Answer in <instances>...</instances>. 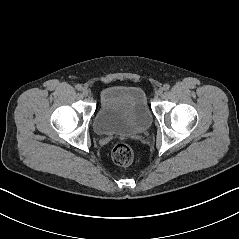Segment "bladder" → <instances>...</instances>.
Instances as JSON below:
<instances>
[{"instance_id": "31cf9c89", "label": "bladder", "mask_w": 239, "mask_h": 239, "mask_svg": "<svg viewBox=\"0 0 239 239\" xmlns=\"http://www.w3.org/2000/svg\"><path fill=\"white\" fill-rule=\"evenodd\" d=\"M152 123L146 96L139 86H112L101 94L93 127L98 135H141Z\"/></svg>"}]
</instances>
